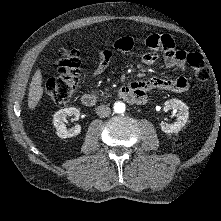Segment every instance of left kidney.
<instances>
[{"mask_svg":"<svg viewBox=\"0 0 221 221\" xmlns=\"http://www.w3.org/2000/svg\"><path fill=\"white\" fill-rule=\"evenodd\" d=\"M171 109L178 112L176 121L172 124L161 122L160 127L161 130L167 134H177L183 128L187 122V119L189 118V107L181 100L170 99L164 103V111L167 112Z\"/></svg>","mask_w":221,"mask_h":221,"instance_id":"1","label":"left kidney"}]
</instances>
